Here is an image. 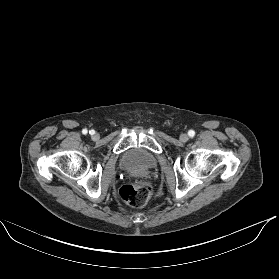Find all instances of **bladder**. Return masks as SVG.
Returning <instances> with one entry per match:
<instances>
[{
    "instance_id": "bladder-1",
    "label": "bladder",
    "mask_w": 279,
    "mask_h": 279,
    "mask_svg": "<svg viewBox=\"0 0 279 279\" xmlns=\"http://www.w3.org/2000/svg\"><path fill=\"white\" fill-rule=\"evenodd\" d=\"M154 154L140 147H133L123 153L120 166L123 170L133 173H145L156 166Z\"/></svg>"
}]
</instances>
